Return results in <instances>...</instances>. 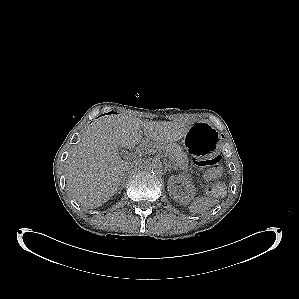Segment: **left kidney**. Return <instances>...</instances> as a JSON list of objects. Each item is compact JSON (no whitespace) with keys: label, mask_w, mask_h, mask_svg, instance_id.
I'll return each instance as SVG.
<instances>
[{"label":"left kidney","mask_w":299,"mask_h":299,"mask_svg":"<svg viewBox=\"0 0 299 299\" xmlns=\"http://www.w3.org/2000/svg\"><path fill=\"white\" fill-rule=\"evenodd\" d=\"M177 183L184 188V192H178ZM169 195L178 203L186 205L195 195V187L191 181L183 175H173L168 179L167 186Z\"/></svg>","instance_id":"left-kidney-1"}]
</instances>
